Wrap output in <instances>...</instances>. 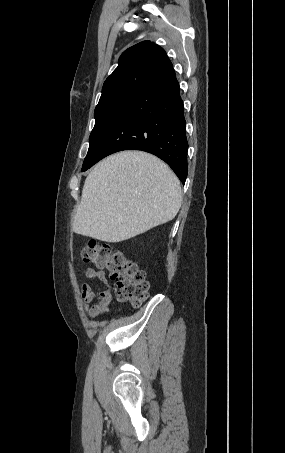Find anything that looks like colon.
<instances>
[{"instance_id": "5ec220e1", "label": "colon", "mask_w": 285, "mask_h": 453, "mask_svg": "<svg viewBox=\"0 0 285 453\" xmlns=\"http://www.w3.org/2000/svg\"><path fill=\"white\" fill-rule=\"evenodd\" d=\"M81 258L84 262L110 272L111 279L117 287L119 301L138 307L147 299L149 283L145 272L123 252L90 239L81 251Z\"/></svg>"}]
</instances>
